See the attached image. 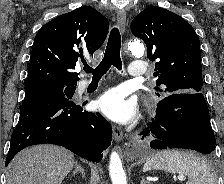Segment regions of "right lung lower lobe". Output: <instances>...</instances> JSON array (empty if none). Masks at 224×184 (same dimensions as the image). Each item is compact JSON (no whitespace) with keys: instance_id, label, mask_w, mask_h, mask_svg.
I'll return each instance as SVG.
<instances>
[{"instance_id":"98d812e1","label":"right lung lower lobe","mask_w":224,"mask_h":184,"mask_svg":"<svg viewBox=\"0 0 224 184\" xmlns=\"http://www.w3.org/2000/svg\"><path fill=\"white\" fill-rule=\"evenodd\" d=\"M73 94L46 95L22 104L6 166L20 150L43 143L63 146L89 161L101 160L111 144V125L102 116L83 111L71 100Z\"/></svg>"}]
</instances>
